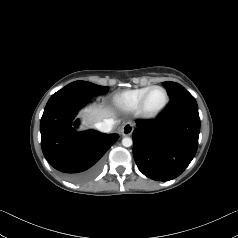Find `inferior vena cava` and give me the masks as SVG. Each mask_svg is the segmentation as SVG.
<instances>
[{
    "instance_id": "inferior-vena-cava-1",
    "label": "inferior vena cava",
    "mask_w": 238,
    "mask_h": 238,
    "mask_svg": "<svg viewBox=\"0 0 238 238\" xmlns=\"http://www.w3.org/2000/svg\"><path fill=\"white\" fill-rule=\"evenodd\" d=\"M114 120L113 119H106L102 122H98L95 124V127L101 131V132H110L113 128V125H114Z\"/></svg>"
}]
</instances>
